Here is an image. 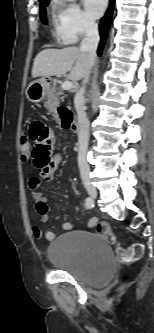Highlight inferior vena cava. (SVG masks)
Instances as JSON below:
<instances>
[{"instance_id":"1","label":"inferior vena cava","mask_w":154,"mask_h":333,"mask_svg":"<svg viewBox=\"0 0 154 333\" xmlns=\"http://www.w3.org/2000/svg\"><path fill=\"white\" fill-rule=\"evenodd\" d=\"M85 37L81 42L80 48L88 52L90 67L93 65L96 58V51L99 43V32L98 26L94 22H86L84 24ZM89 70L85 75L83 81V86L76 93L74 98L75 108L77 112L78 119V142H79V152H78V166L81 174H89L90 168L86 159L88 141H89V121L85 112V84L89 80Z\"/></svg>"}]
</instances>
